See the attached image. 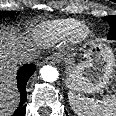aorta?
Here are the masks:
<instances>
[{"label": "aorta", "mask_w": 116, "mask_h": 116, "mask_svg": "<svg viewBox=\"0 0 116 116\" xmlns=\"http://www.w3.org/2000/svg\"><path fill=\"white\" fill-rule=\"evenodd\" d=\"M41 77L46 82H54L58 79L59 73L57 69L50 65H45L40 69Z\"/></svg>", "instance_id": "1"}]
</instances>
